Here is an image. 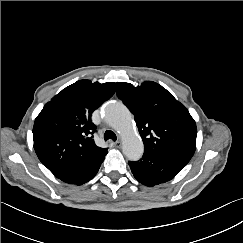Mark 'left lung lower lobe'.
I'll use <instances>...</instances> for the list:
<instances>
[{"instance_id": "left-lung-lower-lobe-1", "label": "left lung lower lobe", "mask_w": 243, "mask_h": 243, "mask_svg": "<svg viewBox=\"0 0 243 243\" xmlns=\"http://www.w3.org/2000/svg\"><path fill=\"white\" fill-rule=\"evenodd\" d=\"M189 158L144 151L142 159L129 161L134 177L146 186H154L171 180L189 162Z\"/></svg>"}]
</instances>
